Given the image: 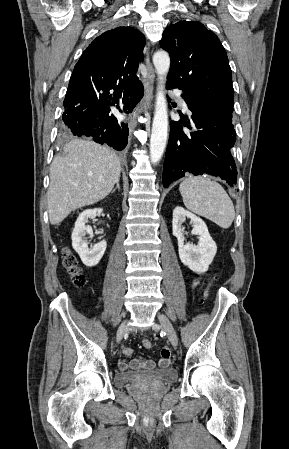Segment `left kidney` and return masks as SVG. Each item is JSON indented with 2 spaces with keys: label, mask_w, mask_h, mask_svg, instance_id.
<instances>
[{
  "label": "left kidney",
  "mask_w": 289,
  "mask_h": 449,
  "mask_svg": "<svg viewBox=\"0 0 289 449\" xmlns=\"http://www.w3.org/2000/svg\"><path fill=\"white\" fill-rule=\"evenodd\" d=\"M189 218L193 223L191 234L199 235L197 245L185 244L182 223ZM172 232L178 241L181 262L195 273L208 270L217 252V246L208 232L205 222L195 214L177 206L173 211Z\"/></svg>",
  "instance_id": "left-kidney-1"
}]
</instances>
